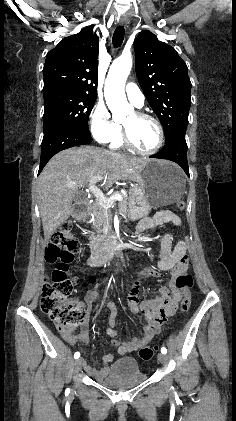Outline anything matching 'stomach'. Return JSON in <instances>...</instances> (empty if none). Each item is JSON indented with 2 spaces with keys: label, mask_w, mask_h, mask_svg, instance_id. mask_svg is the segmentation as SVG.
Listing matches in <instances>:
<instances>
[{
  "label": "stomach",
  "mask_w": 236,
  "mask_h": 421,
  "mask_svg": "<svg viewBox=\"0 0 236 421\" xmlns=\"http://www.w3.org/2000/svg\"><path fill=\"white\" fill-rule=\"evenodd\" d=\"M137 184L130 188L128 217L139 221L149 215L153 206H166L182 198L185 176L177 164L164 160H148L138 170Z\"/></svg>",
  "instance_id": "obj_1"
}]
</instances>
